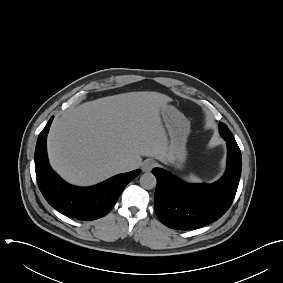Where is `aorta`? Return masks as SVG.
Listing matches in <instances>:
<instances>
[{
	"mask_svg": "<svg viewBox=\"0 0 283 283\" xmlns=\"http://www.w3.org/2000/svg\"><path fill=\"white\" fill-rule=\"evenodd\" d=\"M157 184V180L152 173H144L140 177V185L147 190L153 189Z\"/></svg>",
	"mask_w": 283,
	"mask_h": 283,
	"instance_id": "762f6f07",
	"label": "aorta"
}]
</instances>
